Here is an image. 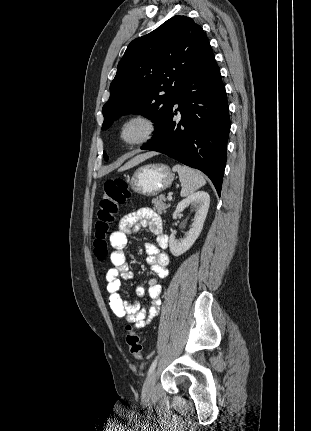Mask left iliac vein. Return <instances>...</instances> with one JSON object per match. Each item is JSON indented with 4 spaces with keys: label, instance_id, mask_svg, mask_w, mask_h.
<instances>
[{
    "label": "left iliac vein",
    "instance_id": "left-iliac-vein-1",
    "mask_svg": "<svg viewBox=\"0 0 311 431\" xmlns=\"http://www.w3.org/2000/svg\"><path fill=\"white\" fill-rule=\"evenodd\" d=\"M155 379H156V371H153L148 376V378L144 384L143 392H142L143 399L148 400L151 398L153 391H154Z\"/></svg>",
    "mask_w": 311,
    "mask_h": 431
}]
</instances>
